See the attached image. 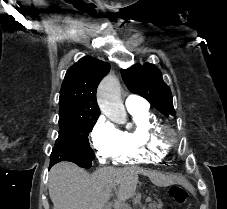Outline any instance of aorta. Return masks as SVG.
<instances>
[{
	"instance_id": "1",
	"label": "aorta",
	"mask_w": 227,
	"mask_h": 209,
	"mask_svg": "<svg viewBox=\"0 0 227 209\" xmlns=\"http://www.w3.org/2000/svg\"><path fill=\"white\" fill-rule=\"evenodd\" d=\"M98 103L101 111L111 120L120 121L126 117V111L121 101L120 84L113 75H108L98 89Z\"/></svg>"
}]
</instances>
